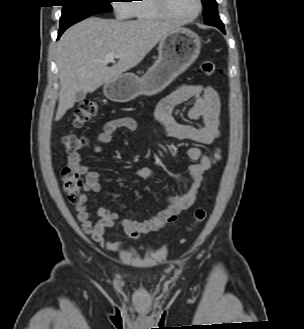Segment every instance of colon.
<instances>
[{"label": "colon", "mask_w": 304, "mask_h": 329, "mask_svg": "<svg viewBox=\"0 0 304 329\" xmlns=\"http://www.w3.org/2000/svg\"><path fill=\"white\" fill-rule=\"evenodd\" d=\"M201 70L205 75L213 76L220 74L216 65L212 61H204L201 64ZM99 111V103L96 99H87L83 101L74 114L72 125L75 128H81L89 123ZM64 150L67 153H74L83 149L87 145V139L83 136L66 134L62 138ZM61 185L67 199L72 204H77L84 191V183L81 175L71 168H66L62 172ZM207 218L205 209H198L195 212V225L201 224Z\"/></svg>", "instance_id": "obj_1"}]
</instances>
